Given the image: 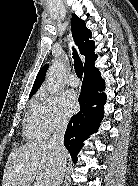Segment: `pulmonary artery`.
Returning <instances> with one entry per match:
<instances>
[{
	"label": "pulmonary artery",
	"instance_id": "pulmonary-artery-1",
	"mask_svg": "<svg viewBox=\"0 0 138 186\" xmlns=\"http://www.w3.org/2000/svg\"><path fill=\"white\" fill-rule=\"evenodd\" d=\"M68 83H69V85L70 86H72V87H77L78 85H79V79L77 78V76L76 75H70L69 77H68Z\"/></svg>",
	"mask_w": 138,
	"mask_h": 186
}]
</instances>
